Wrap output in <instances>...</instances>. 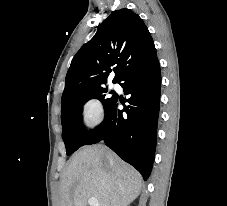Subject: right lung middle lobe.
I'll list each match as a JSON object with an SVG mask.
<instances>
[{"label": "right lung middle lobe", "mask_w": 227, "mask_h": 206, "mask_svg": "<svg viewBox=\"0 0 227 206\" xmlns=\"http://www.w3.org/2000/svg\"><path fill=\"white\" fill-rule=\"evenodd\" d=\"M106 92L107 88L99 87L62 100V137L68 156L79 147L85 145L92 135L83 127L78 118V115L82 112V109L79 107L80 104H84L90 99H98L102 102L106 111L109 105L116 99L115 95L107 98Z\"/></svg>", "instance_id": "obj_1"}]
</instances>
